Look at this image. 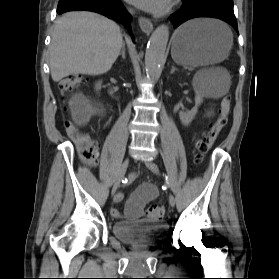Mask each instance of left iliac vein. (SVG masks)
Masks as SVG:
<instances>
[{"label": "left iliac vein", "instance_id": "4c4485c4", "mask_svg": "<svg viewBox=\"0 0 279 279\" xmlns=\"http://www.w3.org/2000/svg\"><path fill=\"white\" fill-rule=\"evenodd\" d=\"M144 163L153 173L159 174V168L153 161L146 159V160H144ZM169 203H170L171 207L175 206V198L173 195L169 196Z\"/></svg>", "mask_w": 279, "mask_h": 279}]
</instances>
